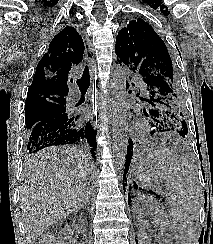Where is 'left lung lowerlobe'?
Listing matches in <instances>:
<instances>
[{"label":"left lung lower lobe","instance_id":"0a47b994","mask_svg":"<svg viewBox=\"0 0 213 244\" xmlns=\"http://www.w3.org/2000/svg\"><path fill=\"white\" fill-rule=\"evenodd\" d=\"M146 116H149V114H145ZM151 117V116H150ZM154 122H156L155 119L151 118ZM155 127H157L156 129L152 130L150 132V135H154L156 133V131L158 132H165V128H164V124H158L156 122ZM132 155H133V143L132 140L130 139L129 145L127 147V155H126V163H125V172H124V179H126V174L128 172L129 166H130V162L132 159Z\"/></svg>","mask_w":213,"mask_h":244}]
</instances>
